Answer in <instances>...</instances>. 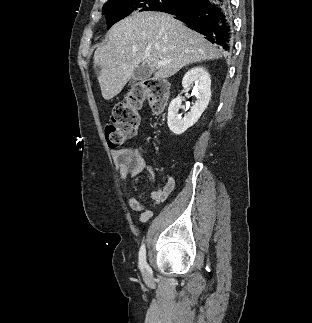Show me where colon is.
I'll return each mask as SVG.
<instances>
[{
  "label": "colon",
  "instance_id": "1",
  "mask_svg": "<svg viewBox=\"0 0 312 323\" xmlns=\"http://www.w3.org/2000/svg\"><path fill=\"white\" fill-rule=\"evenodd\" d=\"M147 96L153 111L159 113L168 97L166 81L162 78L139 80L112 108L110 123L105 127V140L109 147L120 148L135 136L140 121L139 110Z\"/></svg>",
  "mask_w": 312,
  "mask_h": 323
}]
</instances>
